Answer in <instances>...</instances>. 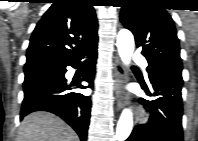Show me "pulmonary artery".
<instances>
[{"instance_id": "1", "label": "pulmonary artery", "mask_w": 198, "mask_h": 141, "mask_svg": "<svg viewBox=\"0 0 198 141\" xmlns=\"http://www.w3.org/2000/svg\"><path fill=\"white\" fill-rule=\"evenodd\" d=\"M134 62L141 65L143 68H145L146 66V60L144 57L140 56V55H136L134 57Z\"/></svg>"}]
</instances>
